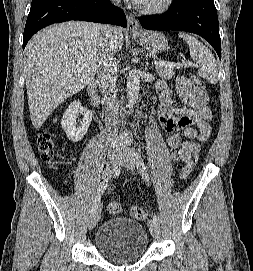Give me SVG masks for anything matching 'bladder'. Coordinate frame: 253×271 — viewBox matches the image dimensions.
<instances>
[{"instance_id":"1","label":"bladder","mask_w":253,"mask_h":271,"mask_svg":"<svg viewBox=\"0 0 253 271\" xmlns=\"http://www.w3.org/2000/svg\"><path fill=\"white\" fill-rule=\"evenodd\" d=\"M149 238L145 227L128 218H112L102 223L95 234V247L107 259L126 263L141 258Z\"/></svg>"}]
</instances>
